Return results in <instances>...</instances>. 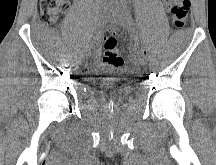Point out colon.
<instances>
[{
	"mask_svg": "<svg viewBox=\"0 0 216 165\" xmlns=\"http://www.w3.org/2000/svg\"><path fill=\"white\" fill-rule=\"evenodd\" d=\"M173 25L182 28L190 11L189 0H167ZM68 5V0H40L41 17L45 22L56 23ZM103 66L108 70H118L123 64V58L117 49L115 35H109L105 39L104 53L102 56Z\"/></svg>",
	"mask_w": 216,
	"mask_h": 165,
	"instance_id": "colon-1",
	"label": "colon"
}]
</instances>
